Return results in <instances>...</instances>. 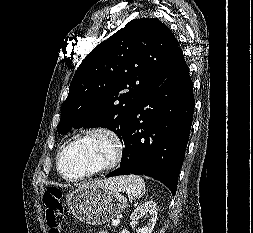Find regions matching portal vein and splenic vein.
Returning <instances> with one entry per match:
<instances>
[{"instance_id": "18ae733b", "label": "portal vein and splenic vein", "mask_w": 253, "mask_h": 233, "mask_svg": "<svg viewBox=\"0 0 253 233\" xmlns=\"http://www.w3.org/2000/svg\"><path fill=\"white\" fill-rule=\"evenodd\" d=\"M118 224H119V219H116V220L112 221L113 226H118Z\"/></svg>"}]
</instances>
